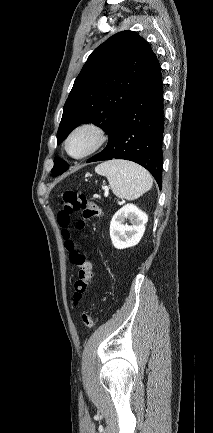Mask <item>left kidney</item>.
<instances>
[{
	"label": "left kidney",
	"mask_w": 213,
	"mask_h": 433,
	"mask_svg": "<svg viewBox=\"0 0 213 433\" xmlns=\"http://www.w3.org/2000/svg\"><path fill=\"white\" fill-rule=\"evenodd\" d=\"M129 219L131 225L125 224ZM148 216L134 204H126L119 209L110 222V237L117 249L133 247L139 243L144 232Z\"/></svg>",
	"instance_id": "left-kidney-1"
}]
</instances>
